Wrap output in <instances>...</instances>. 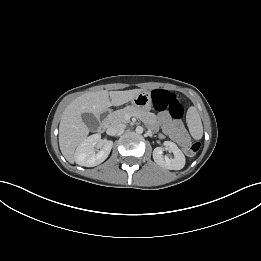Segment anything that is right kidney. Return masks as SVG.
<instances>
[{
    "mask_svg": "<svg viewBox=\"0 0 261 261\" xmlns=\"http://www.w3.org/2000/svg\"><path fill=\"white\" fill-rule=\"evenodd\" d=\"M95 146L99 148L97 153H95ZM112 146V141L101 142L100 134L91 135L78 145L74 155L75 162L85 167L97 166L106 160Z\"/></svg>",
    "mask_w": 261,
    "mask_h": 261,
    "instance_id": "right-kidney-1",
    "label": "right kidney"
}]
</instances>
